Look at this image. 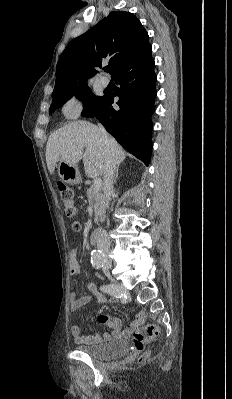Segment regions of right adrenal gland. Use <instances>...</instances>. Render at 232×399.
Wrapping results in <instances>:
<instances>
[{
  "label": "right adrenal gland",
  "instance_id": "obj_1",
  "mask_svg": "<svg viewBox=\"0 0 232 399\" xmlns=\"http://www.w3.org/2000/svg\"><path fill=\"white\" fill-rule=\"evenodd\" d=\"M118 170H119V168H116V172H115V174L113 176V184H116V182L118 180Z\"/></svg>",
  "mask_w": 232,
  "mask_h": 399
}]
</instances>
